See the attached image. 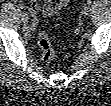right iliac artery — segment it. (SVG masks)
Wrapping results in <instances>:
<instances>
[{
	"label": "right iliac artery",
	"instance_id": "1",
	"mask_svg": "<svg viewBox=\"0 0 111 106\" xmlns=\"http://www.w3.org/2000/svg\"><path fill=\"white\" fill-rule=\"evenodd\" d=\"M22 18H29L26 11H23V12H22Z\"/></svg>",
	"mask_w": 111,
	"mask_h": 106
}]
</instances>
